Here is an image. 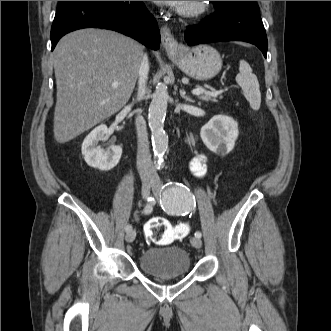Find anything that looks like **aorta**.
<instances>
[{
	"label": "aorta",
	"instance_id": "aorta-1",
	"mask_svg": "<svg viewBox=\"0 0 331 331\" xmlns=\"http://www.w3.org/2000/svg\"><path fill=\"white\" fill-rule=\"evenodd\" d=\"M168 91L165 84H158L149 106L148 123L152 133V144L157 166H161L168 148V135L164 130V120L168 104Z\"/></svg>",
	"mask_w": 331,
	"mask_h": 331
}]
</instances>
